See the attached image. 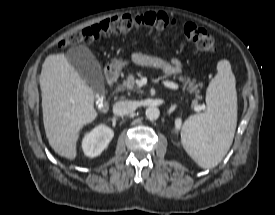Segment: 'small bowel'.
<instances>
[{
  "label": "small bowel",
  "instance_id": "small-bowel-1",
  "mask_svg": "<svg viewBox=\"0 0 275 215\" xmlns=\"http://www.w3.org/2000/svg\"><path fill=\"white\" fill-rule=\"evenodd\" d=\"M158 66L167 76H174L181 72L182 64L178 58H173L170 63H161Z\"/></svg>",
  "mask_w": 275,
  "mask_h": 215
}]
</instances>
